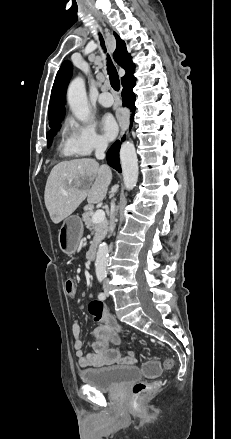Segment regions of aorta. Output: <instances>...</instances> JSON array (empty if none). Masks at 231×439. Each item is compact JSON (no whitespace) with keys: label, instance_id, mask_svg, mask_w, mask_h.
<instances>
[{"label":"aorta","instance_id":"obj_1","mask_svg":"<svg viewBox=\"0 0 231 439\" xmlns=\"http://www.w3.org/2000/svg\"><path fill=\"white\" fill-rule=\"evenodd\" d=\"M67 100L74 116L79 121L86 122L90 115V109L83 78L77 77L70 83L67 91ZM120 160L124 186L127 190H132L138 180V160L133 143L127 141L122 144ZM108 254L109 248L107 243H101L95 260L97 278H105L107 275Z\"/></svg>","mask_w":231,"mask_h":439}]
</instances>
